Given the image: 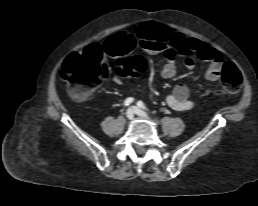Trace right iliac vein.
Here are the masks:
<instances>
[{
	"label": "right iliac vein",
	"mask_w": 258,
	"mask_h": 206,
	"mask_svg": "<svg viewBox=\"0 0 258 206\" xmlns=\"http://www.w3.org/2000/svg\"><path fill=\"white\" fill-rule=\"evenodd\" d=\"M134 109L133 107L132 108H129L126 112V117L128 118V120H133L134 118Z\"/></svg>",
	"instance_id": "63e3f726"
}]
</instances>
